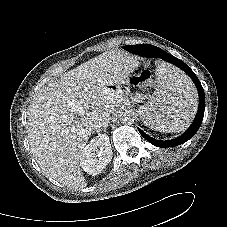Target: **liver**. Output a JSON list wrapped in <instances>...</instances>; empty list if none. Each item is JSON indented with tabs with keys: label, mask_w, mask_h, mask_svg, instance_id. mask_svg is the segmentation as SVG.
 <instances>
[{
	"label": "liver",
	"mask_w": 227,
	"mask_h": 227,
	"mask_svg": "<svg viewBox=\"0 0 227 227\" xmlns=\"http://www.w3.org/2000/svg\"><path fill=\"white\" fill-rule=\"evenodd\" d=\"M136 66L125 51H107L34 95L27 112V138L34 159L49 178L70 189L87 186L80 168L83 149L96 120L110 116L120 104L121 96L108 87L124 83ZM74 104L84 113L74 111Z\"/></svg>",
	"instance_id": "6515ba94"
}]
</instances>
